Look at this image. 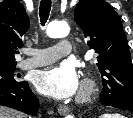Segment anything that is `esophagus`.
<instances>
[{
    "mask_svg": "<svg viewBox=\"0 0 133 118\" xmlns=\"http://www.w3.org/2000/svg\"><path fill=\"white\" fill-rule=\"evenodd\" d=\"M54 3L57 2V0H53ZM69 107L66 106V105H59L58 107V112L61 114V115H65L69 112Z\"/></svg>",
    "mask_w": 133,
    "mask_h": 118,
    "instance_id": "1",
    "label": "esophagus"
}]
</instances>
